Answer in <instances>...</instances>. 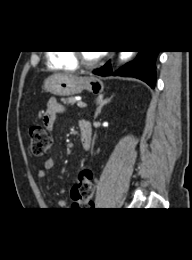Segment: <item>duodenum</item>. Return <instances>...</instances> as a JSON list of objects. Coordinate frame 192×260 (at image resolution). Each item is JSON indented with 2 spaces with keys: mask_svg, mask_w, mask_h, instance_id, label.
Wrapping results in <instances>:
<instances>
[{
  "mask_svg": "<svg viewBox=\"0 0 192 260\" xmlns=\"http://www.w3.org/2000/svg\"><path fill=\"white\" fill-rule=\"evenodd\" d=\"M80 140L84 150H89L92 142V125L88 120H80Z\"/></svg>",
  "mask_w": 192,
  "mask_h": 260,
  "instance_id": "obj_1",
  "label": "duodenum"
}]
</instances>
